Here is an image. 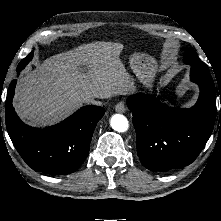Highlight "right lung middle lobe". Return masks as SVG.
<instances>
[{
  "mask_svg": "<svg viewBox=\"0 0 221 221\" xmlns=\"http://www.w3.org/2000/svg\"><path fill=\"white\" fill-rule=\"evenodd\" d=\"M32 57H33V51L27 57L21 60V62L19 63L17 67V71L18 72L21 71L25 67V65L31 61Z\"/></svg>",
  "mask_w": 221,
  "mask_h": 221,
  "instance_id": "1",
  "label": "right lung middle lobe"
}]
</instances>
